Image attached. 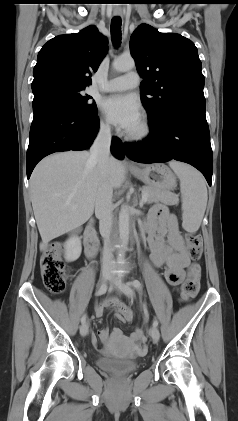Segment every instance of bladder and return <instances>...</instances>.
<instances>
[{"label": "bladder", "instance_id": "31cf9c89", "mask_svg": "<svg viewBox=\"0 0 238 421\" xmlns=\"http://www.w3.org/2000/svg\"><path fill=\"white\" fill-rule=\"evenodd\" d=\"M97 366L111 374L125 375L134 372L138 368V363L131 359L101 357L97 360Z\"/></svg>", "mask_w": 238, "mask_h": 421}]
</instances>
